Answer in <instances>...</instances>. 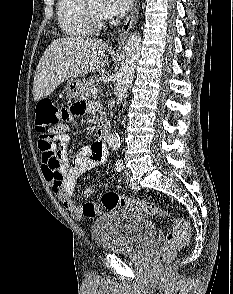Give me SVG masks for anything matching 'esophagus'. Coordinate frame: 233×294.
Wrapping results in <instances>:
<instances>
[{"label":"esophagus","mask_w":233,"mask_h":294,"mask_svg":"<svg viewBox=\"0 0 233 294\" xmlns=\"http://www.w3.org/2000/svg\"><path fill=\"white\" fill-rule=\"evenodd\" d=\"M138 9H139V0H136L130 15L127 17L123 25L122 31L119 34V38L117 40L118 44H122L126 40L129 34V31L133 25V22L138 14Z\"/></svg>","instance_id":"esophagus-1"}]
</instances>
